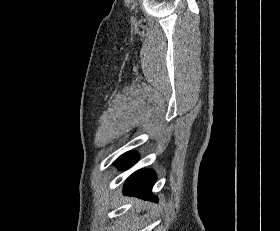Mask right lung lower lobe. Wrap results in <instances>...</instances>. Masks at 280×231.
<instances>
[{"label":"right lung lower lobe","mask_w":280,"mask_h":231,"mask_svg":"<svg viewBox=\"0 0 280 231\" xmlns=\"http://www.w3.org/2000/svg\"><path fill=\"white\" fill-rule=\"evenodd\" d=\"M137 160V154L129 151L120 156L114 164L120 169L125 170L131 167ZM155 179L156 175L152 170L136 171L126 180L124 194L157 202L156 197L151 193Z\"/></svg>","instance_id":"98d812e1"}]
</instances>
